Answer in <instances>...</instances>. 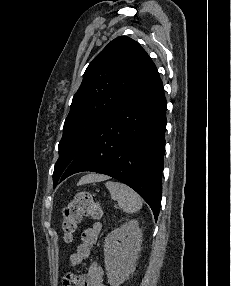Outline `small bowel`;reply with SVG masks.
I'll list each match as a JSON object with an SVG mask.
<instances>
[{"label":"small bowel","mask_w":231,"mask_h":286,"mask_svg":"<svg viewBox=\"0 0 231 286\" xmlns=\"http://www.w3.org/2000/svg\"><path fill=\"white\" fill-rule=\"evenodd\" d=\"M102 226L99 222H94L86 228L81 235V242L74 253L69 257V266L71 269L78 268L91 253L93 245L96 243ZM64 286H105L103 284V268L99 258L91 261L87 273H68L63 278Z\"/></svg>","instance_id":"obj_1"}]
</instances>
